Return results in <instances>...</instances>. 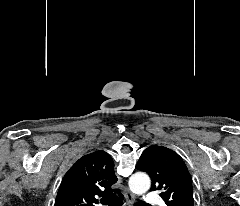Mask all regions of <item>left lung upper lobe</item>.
Segmentation results:
<instances>
[{"mask_svg": "<svg viewBox=\"0 0 240 206\" xmlns=\"http://www.w3.org/2000/svg\"><path fill=\"white\" fill-rule=\"evenodd\" d=\"M137 170L147 172L152 180V191H161L160 196L167 206H194L192 179L181 157L173 150L152 145L141 155Z\"/></svg>", "mask_w": 240, "mask_h": 206, "instance_id": "left-lung-upper-lobe-1", "label": "left lung upper lobe"}]
</instances>
